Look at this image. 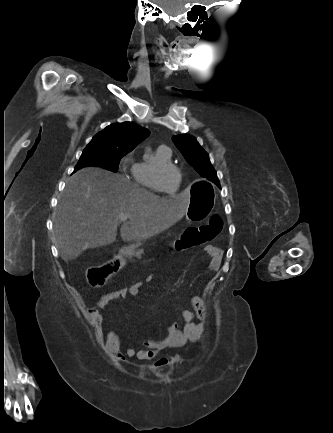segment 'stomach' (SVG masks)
Returning <instances> with one entry per match:
<instances>
[{"label":"stomach","mask_w":333,"mask_h":433,"mask_svg":"<svg viewBox=\"0 0 333 433\" xmlns=\"http://www.w3.org/2000/svg\"><path fill=\"white\" fill-rule=\"evenodd\" d=\"M214 185L207 180H197L191 188V204L186 215L194 225L206 219L214 209Z\"/></svg>","instance_id":"obj_1"}]
</instances>
